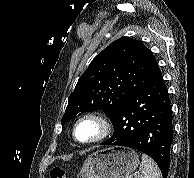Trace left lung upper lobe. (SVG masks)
<instances>
[{"label": "left lung upper lobe", "instance_id": "obj_1", "mask_svg": "<svg viewBox=\"0 0 194 178\" xmlns=\"http://www.w3.org/2000/svg\"><path fill=\"white\" fill-rule=\"evenodd\" d=\"M161 75L153 53L142 42L129 37L112 42L78 80L61 119L62 126L88 111L103 110L111 117L126 98Z\"/></svg>", "mask_w": 194, "mask_h": 178}]
</instances>
